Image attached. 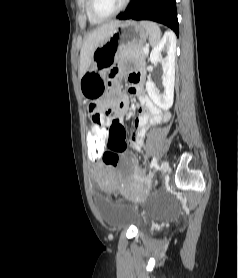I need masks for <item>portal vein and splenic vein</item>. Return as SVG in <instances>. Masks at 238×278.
Returning a JSON list of instances; mask_svg holds the SVG:
<instances>
[{
	"label": "portal vein and splenic vein",
	"instance_id": "portal-vein-and-splenic-vein-1",
	"mask_svg": "<svg viewBox=\"0 0 238 278\" xmlns=\"http://www.w3.org/2000/svg\"><path fill=\"white\" fill-rule=\"evenodd\" d=\"M143 51H144L145 54H147V53L149 52V48L145 47V48L143 49Z\"/></svg>",
	"mask_w": 238,
	"mask_h": 278
}]
</instances>
